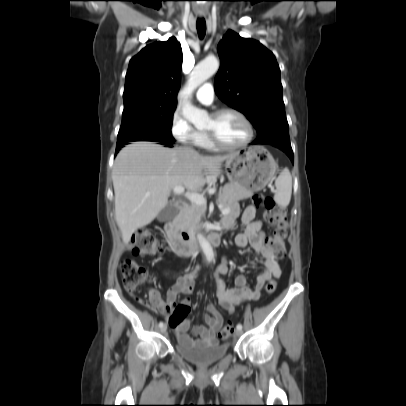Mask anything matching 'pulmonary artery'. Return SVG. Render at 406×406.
Returning a JSON list of instances; mask_svg holds the SVG:
<instances>
[{
  "label": "pulmonary artery",
  "instance_id": "e3ab8cb5",
  "mask_svg": "<svg viewBox=\"0 0 406 406\" xmlns=\"http://www.w3.org/2000/svg\"><path fill=\"white\" fill-rule=\"evenodd\" d=\"M196 98L203 104H211L214 99V90L211 83L203 84L196 92Z\"/></svg>",
  "mask_w": 406,
  "mask_h": 406
}]
</instances>
